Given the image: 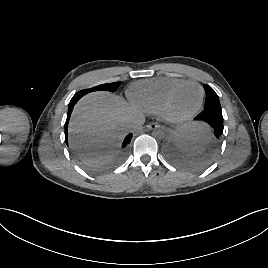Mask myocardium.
I'll list each match as a JSON object with an SVG mask.
<instances>
[{"label": "myocardium", "mask_w": 268, "mask_h": 268, "mask_svg": "<svg viewBox=\"0 0 268 268\" xmlns=\"http://www.w3.org/2000/svg\"><path fill=\"white\" fill-rule=\"evenodd\" d=\"M187 86L198 87V89L200 91L199 102H198L197 106L191 112L184 114V115H177V114L173 113L171 110L172 102H173L175 96L177 95V93ZM203 101H204V89H203V87L196 82L187 81L185 83H182V84L176 86L168 93V95L166 96V98L163 102V105H162L161 115L163 116V118L166 121H168L170 123L180 124V123L186 122V121L190 120L191 118H193L198 113V111L201 109Z\"/></svg>", "instance_id": "1"}]
</instances>
